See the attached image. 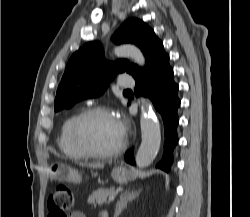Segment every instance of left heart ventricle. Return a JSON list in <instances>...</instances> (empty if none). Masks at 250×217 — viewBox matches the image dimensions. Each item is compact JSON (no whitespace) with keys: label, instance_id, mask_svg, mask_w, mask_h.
<instances>
[{"label":"left heart ventricle","instance_id":"obj_1","mask_svg":"<svg viewBox=\"0 0 250 217\" xmlns=\"http://www.w3.org/2000/svg\"><path fill=\"white\" fill-rule=\"evenodd\" d=\"M85 141L98 151H109L119 145L122 131L117 119L108 114H95L88 117L82 126Z\"/></svg>","mask_w":250,"mask_h":217}]
</instances>
